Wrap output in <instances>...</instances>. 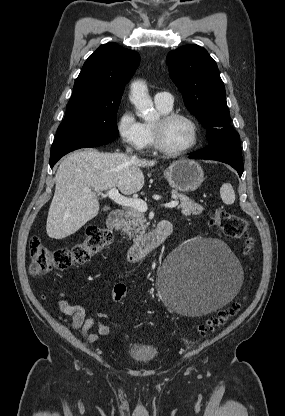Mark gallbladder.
Returning <instances> with one entry per match:
<instances>
[{"mask_svg":"<svg viewBox=\"0 0 285 416\" xmlns=\"http://www.w3.org/2000/svg\"><path fill=\"white\" fill-rule=\"evenodd\" d=\"M103 212H107V210H109L108 206H104V208H102Z\"/></svg>","mask_w":285,"mask_h":416,"instance_id":"1","label":"gallbladder"}]
</instances>
